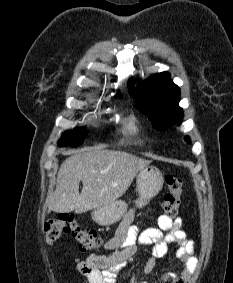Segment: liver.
I'll use <instances>...</instances> for the list:
<instances>
[{"mask_svg": "<svg viewBox=\"0 0 233 283\" xmlns=\"http://www.w3.org/2000/svg\"><path fill=\"white\" fill-rule=\"evenodd\" d=\"M149 164V160L123 151L90 149L75 153L60 166L56 189L46 200L48 212L81 214L110 205L128 190L137 172Z\"/></svg>", "mask_w": 233, "mask_h": 283, "instance_id": "6515ba94", "label": "liver"}]
</instances>
